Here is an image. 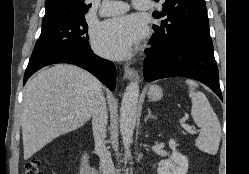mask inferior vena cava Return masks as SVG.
<instances>
[{
  "mask_svg": "<svg viewBox=\"0 0 249 174\" xmlns=\"http://www.w3.org/2000/svg\"><path fill=\"white\" fill-rule=\"evenodd\" d=\"M108 111L103 94L101 93L94 105L92 114V129L95 149L99 154L103 174H115L114 164L110 152L105 146Z\"/></svg>",
  "mask_w": 249,
  "mask_h": 174,
  "instance_id": "602c4592",
  "label": "inferior vena cava"
}]
</instances>
